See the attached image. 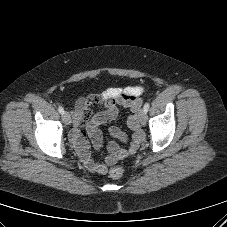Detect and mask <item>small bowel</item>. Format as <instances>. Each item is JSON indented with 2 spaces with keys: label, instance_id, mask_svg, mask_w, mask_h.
I'll list each match as a JSON object with an SVG mask.
<instances>
[{
  "label": "small bowel",
  "instance_id": "obj_1",
  "mask_svg": "<svg viewBox=\"0 0 227 227\" xmlns=\"http://www.w3.org/2000/svg\"><path fill=\"white\" fill-rule=\"evenodd\" d=\"M143 93L142 87L134 86L125 90L109 88L100 94H92L77 100L73 113L75 128L72 130L71 141L85 167L93 173L105 174L108 166L114 165L118 160L133 154L144 139V134L139 127L134 114L127 120L128 128L131 131L130 139L117 127H111V136L126 143V147H120L115 141L108 146V155L105 162L95 161L91 158L89 141L98 150L102 146V133L100 126L114 120L119 113V107L130 109L133 113L141 105L140 96ZM93 105H101L104 110L92 114L90 108Z\"/></svg>",
  "mask_w": 227,
  "mask_h": 227
}]
</instances>
